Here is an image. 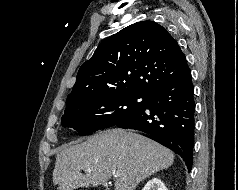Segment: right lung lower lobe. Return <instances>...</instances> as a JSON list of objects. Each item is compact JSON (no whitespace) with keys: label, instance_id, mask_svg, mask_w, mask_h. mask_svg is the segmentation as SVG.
Returning a JSON list of instances; mask_svg holds the SVG:
<instances>
[{"label":"right lung lower lobe","instance_id":"1","mask_svg":"<svg viewBox=\"0 0 238 190\" xmlns=\"http://www.w3.org/2000/svg\"><path fill=\"white\" fill-rule=\"evenodd\" d=\"M194 87L189 67L148 96L145 106L115 126L146 132L179 154L189 171L195 130Z\"/></svg>","mask_w":238,"mask_h":190}]
</instances>
